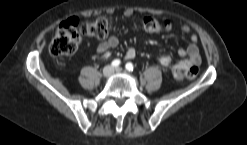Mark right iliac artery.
Instances as JSON below:
<instances>
[{
    "label": "right iliac artery",
    "mask_w": 247,
    "mask_h": 145,
    "mask_svg": "<svg viewBox=\"0 0 247 145\" xmlns=\"http://www.w3.org/2000/svg\"><path fill=\"white\" fill-rule=\"evenodd\" d=\"M120 60H118V59H116V60H114L113 62H112V66L113 67H118L119 65H120Z\"/></svg>",
    "instance_id": "obj_1"
}]
</instances>
